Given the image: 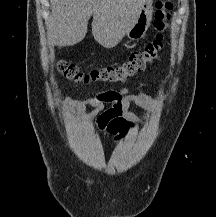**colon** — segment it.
I'll use <instances>...</instances> for the list:
<instances>
[{
	"label": "colon",
	"instance_id": "obj_1",
	"mask_svg": "<svg viewBox=\"0 0 216 217\" xmlns=\"http://www.w3.org/2000/svg\"><path fill=\"white\" fill-rule=\"evenodd\" d=\"M172 0H158L154 16V26L157 30L155 39L142 50L134 51L128 59L117 65L106 66L89 72H82L76 65L65 60H59L57 68L66 78L82 83L123 82L141 72L147 65L158 60L165 46L164 32L167 30L171 19ZM128 123L119 121L110 127V131L124 134ZM118 136V137H119Z\"/></svg>",
	"mask_w": 216,
	"mask_h": 217
}]
</instances>
